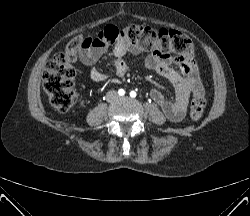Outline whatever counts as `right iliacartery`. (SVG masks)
I'll list each match as a JSON object with an SVG mask.
<instances>
[{"label":"right iliac artery","mask_w":250,"mask_h":216,"mask_svg":"<svg viewBox=\"0 0 250 216\" xmlns=\"http://www.w3.org/2000/svg\"><path fill=\"white\" fill-rule=\"evenodd\" d=\"M118 94H119L120 96H124V94H125L124 89H119V90H118Z\"/></svg>","instance_id":"right-iliac-artery-1"}]
</instances>
